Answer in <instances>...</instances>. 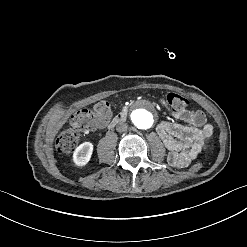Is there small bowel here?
<instances>
[{
  "mask_svg": "<svg viewBox=\"0 0 247 247\" xmlns=\"http://www.w3.org/2000/svg\"><path fill=\"white\" fill-rule=\"evenodd\" d=\"M175 115L191 126L163 121L157 126V133L169 151L168 163L174 168H184L205 151L209 137L205 129L212 126L206 123V116L200 110H176Z\"/></svg>",
  "mask_w": 247,
  "mask_h": 247,
  "instance_id": "obj_1",
  "label": "small bowel"
}]
</instances>
